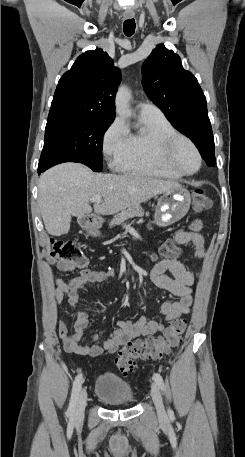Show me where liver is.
I'll return each mask as SVG.
<instances>
[{
    "mask_svg": "<svg viewBox=\"0 0 245 457\" xmlns=\"http://www.w3.org/2000/svg\"><path fill=\"white\" fill-rule=\"evenodd\" d=\"M174 186L181 184L144 174H101L78 162H62L40 174L38 204L47 233L61 237L70 229L71 214L92 212L89 200L97 194L103 200L93 204L94 212L114 214Z\"/></svg>",
    "mask_w": 245,
    "mask_h": 457,
    "instance_id": "obj_1",
    "label": "liver"
}]
</instances>
